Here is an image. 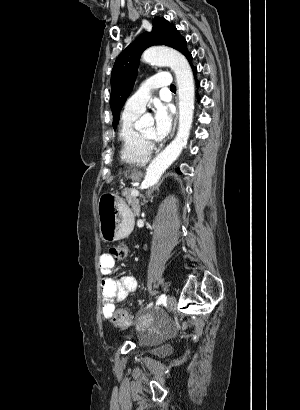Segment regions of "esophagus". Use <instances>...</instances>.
Masks as SVG:
<instances>
[{"label": "esophagus", "mask_w": 300, "mask_h": 410, "mask_svg": "<svg viewBox=\"0 0 300 410\" xmlns=\"http://www.w3.org/2000/svg\"><path fill=\"white\" fill-rule=\"evenodd\" d=\"M177 121H178V111L176 112L175 119H174V122H173V128H172L171 138L173 137V135H174V133H175L176 126H177Z\"/></svg>", "instance_id": "obj_1"}]
</instances>
